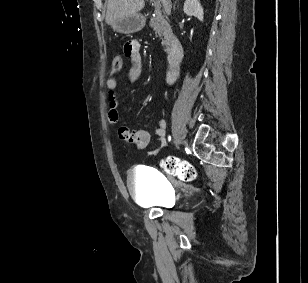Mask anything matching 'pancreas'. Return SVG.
<instances>
[{"mask_svg":"<svg viewBox=\"0 0 308 283\" xmlns=\"http://www.w3.org/2000/svg\"><path fill=\"white\" fill-rule=\"evenodd\" d=\"M150 26L154 29L156 35L162 39V45L166 52L170 50L171 27L164 19L161 13L157 12L150 20Z\"/></svg>","mask_w":308,"mask_h":283,"instance_id":"pancreas-1","label":"pancreas"}]
</instances>
